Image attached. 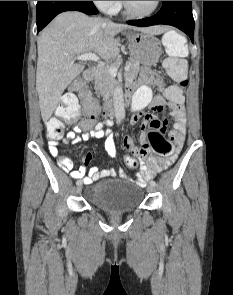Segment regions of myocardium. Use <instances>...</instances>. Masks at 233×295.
<instances>
[{"label":"myocardium","instance_id":"myocardium-1","mask_svg":"<svg viewBox=\"0 0 233 295\" xmlns=\"http://www.w3.org/2000/svg\"><path fill=\"white\" fill-rule=\"evenodd\" d=\"M121 4L125 10V12L132 16V17H136V18H146V17H149L151 15H153L159 8L160 6V1H155V5L154 7L147 13H138V12H135L129 5V2L128 1H121Z\"/></svg>","mask_w":233,"mask_h":295}]
</instances>
